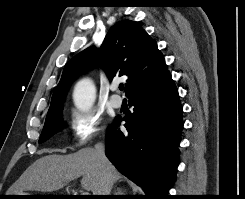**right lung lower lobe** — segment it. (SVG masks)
<instances>
[{
    "label": "right lung lower lobe",
    "instance_id": "1",
    "mask_svg": "<svg viewBox=\"0 0 245 199\" xmlns=\"http://www.w3.org/2000/svg\"><path fill=\"white\" fill-rule=\"evenodd\" d=\"M128 133L110 126L106 156L120 173L141 186L148 199H167L179 163L182 107L173 80L129 98ZM121 119L118 120V123Z\"/></svg>",
    "mask_w": 245,
    "mask_h": 199
}]
</instances>
